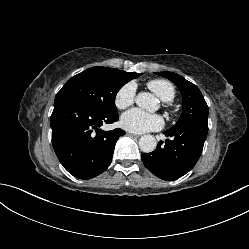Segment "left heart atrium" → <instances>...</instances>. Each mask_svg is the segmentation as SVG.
<instances>
[{"label": "left heart atrium", "mask_w": 249, "mask_h": 249, "mask_svg": "<svg viewBox=\"0 0 249 249\" xmlns=\"http://www.w3.org/2000/svg\"><path fill=\"white\" fill-rule=\"evenodd\" d=\"M120 123L125 130L144 133L160 129L163 126V119L160 115L149 114L134 108L122 115Z\"/></svg>", "instance_id": "obj_1"}]
</instances>
